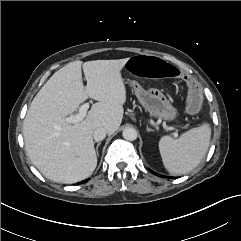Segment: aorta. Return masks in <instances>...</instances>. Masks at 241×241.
Here are the masks:
<instances>
[{
    "mask_svg": "<svg viewBox=\"0 0 241 241\" xmlns=\"http://www.w3.org/2000/svg\"><path fill=\"white\" fill-rule=\"evenodd\" d=\"M123 138L128 141L137 139V131L134 128H125L122 132Z\"/></svg>",
    "mask_w": 241,
    "mask_h": 241,
    "instance_id": "aorta-1",
    "label": "aorta"
}]
</instances>
